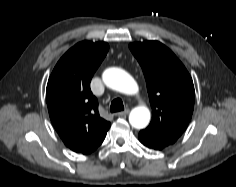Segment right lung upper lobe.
Here are the masks:
<instances>
[{"label":"right lung upper lobe","instance_id":"obj_1","mask_svg":"<svg viewBox=\"0 0 236 187\" xmlns=\"http://www.w3.org/2000/svg\"><path fill=\"white\" fill-rule=\"evenodd\" d=\"M105 42L83 41L69 49L56 64L47 84L50 119L64 144L89 154L105 139L110 122L99 116L90 81L108 52Z\"/></svg>","mask_w":236,"mask_h":187}]
</instances>
